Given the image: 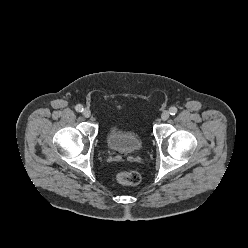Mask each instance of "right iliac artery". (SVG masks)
I'll list each match as a JSON object with an SVG mask.
<instances>
[{
  "instance_id": "right-iliac-artery-1",
  "label": "right iliac artery",
  "mask_w": 248,
  "mask_h": 248,
  "mask_svg": "<svg viewBox=\"0 0 248 248\" xmlns=\"http://www.w3.org/2000/svg\"><path fill=\"white\" fill-rule=\"evenodd\" d=\"M76 111L77 112H82L83 111V106L81 104H78L76 107H75Z\"/></svg>"
}]
</instances>
